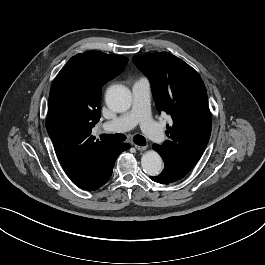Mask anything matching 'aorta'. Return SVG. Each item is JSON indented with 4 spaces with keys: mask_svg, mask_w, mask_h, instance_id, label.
<instances>
[{
    "mask_svg": "<svg viewBox=\"0 0 265 265\" xmlns=\"http://www.w3.org/2000/svg\"><path fill=\"white\" fill-rule=\"evenodd\" d=\"M105 100L107 106L111 110L122 113L130 108L132 96L127 87L116 84L108 88ZM141 166L146 174L156 176L162 171V158L156 151L149 150L143 154L141 158Z\"/></svg>",
    "mask_w": 265,
    "mask_h": 265,
    "instance_id": "aorta-1",
    "label": "aorta"
}]
</instances>
